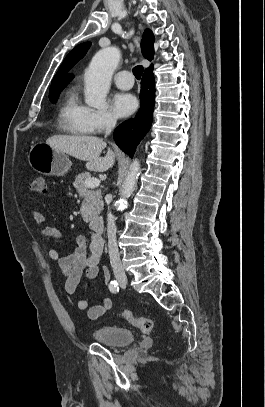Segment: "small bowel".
I'll return each instance as SVG.
<instances>
[{"label": "small bowel", "mask_w": 265, "mask_h": 407, "mask_svg": "<svg viewBox=\"0 0 265 407\" xmlns=\"http://www.w3.org/2000/svg\"><path fill=\"white\" fill-rule=\"evenodd\" d=\"M29 212L44 236L53 239H57L61 236V232L58 228L44 226V216L40 212L33 209ZM74 243L75 247L73 252L67 256L61 257L55 249H51L48 253L50 259L57 262L59 270L66 277V293L73 295L80 286L83 277L86 280H91L97 278L99 275H103L105 282L108 283L110 273L100 265L102 247L99 238L92 236L89 248L87 247V239L83 235H77ZM84 289H86L85 284ZM111 307L112 300L109 297H103L100 304L91 307H89V301L85 297L77 301V308L81 311L87 310V316L90 320H96L103 316Z\"/></svg>", "instance_id": "small-bowel-1"}]
</instances>
